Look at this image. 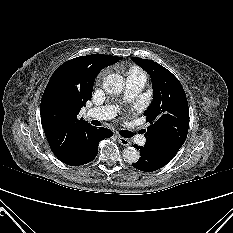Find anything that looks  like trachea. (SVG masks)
<instances>
[{
    "label": "trachea",
    "mask_w": 233,
    "mask_h": 233,
    "mask_svg": "<svg viewBox=\"0 0 233 233\" xmlns=\"http://www.w3.org/2000/svg\"><path fill=\"white\" fill-rule=\"evenodd\" d=\"M119 134L124 138H130L133 136V133L131 131L121 130Z\"/></svg>",
    "instance_id": "trachea-1"
}]
</instances>
